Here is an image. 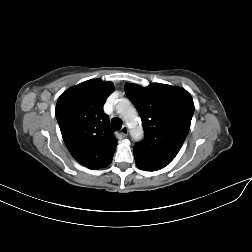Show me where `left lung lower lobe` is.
<instances>
[{
	"instance_id": "obj_1",
	"label": "left lung lower lobe",
	"mask_w": 252,
	"mask_h": 252,
	"mask_svg": "<svg viewBox=\"0 0 252 252\" xmlns=\"http://www.w3.org/2000/svg\"><path fill=\"white\" fill-rule=\"evenodd\" d=\"M134 158L137 167L145 171L160 170L171 162L160 156L145 152L137 147H134Z\"/></svg>"
}]
</instances>
